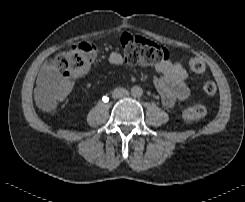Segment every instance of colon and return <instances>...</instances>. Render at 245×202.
I'll use <instances>...</instances> for the list:
<instances>
[{
	"label": "colon",
	"mask_w": 245,
	"mask_h": 202,
	"mask_svg": "<svg viewBox=\"0 0 245 202\" xmlns=\"http://www.w3.org/2000/svg\"><path fill=\"white\" fill-rule=\"evenodd\" d=\"M121 48L126 61L134 65H152L169 58V50L154 41L141 36L123 34ZM98 54V45L92 41H84L73 45L66 52L60 53L55 58V66L61 72V77L43 87L36 94L38 105L46 111L53 110L56 105L68 96L66 86L67 78H75L84 75L90 68ZM189 68L192 72L200 74L205 70V64L200 59H191ZM203 92L214 95L217 91L213 81H206L202 87ZM205 105L188 106L183 109L184 120L191 122L204 118L207 114Z\"/></svg>",
	"instance_id": "obj_1"
}]
</instances>
